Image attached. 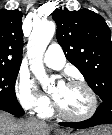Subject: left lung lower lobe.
Here are the masks:
<instances>
[{
  "instance_id": "left-lung-lower-lobe-1",
  "label": "left lung lower lobe",
  "mask_w": 112,
  "mask_h": 135,
  "mask_svg": "<svg viewBox=\"0 0 112 135\" xmlns=\"http://www.w3.org/2000/svg\"><path fill=\"white\" fill-rule=\"evenodd\" d=\"M65 127L71 128H88L101 124H112V99L102 101L95 114L88 120L82 122H65L59 123Z\"/></svg>"
}]
</instances>
